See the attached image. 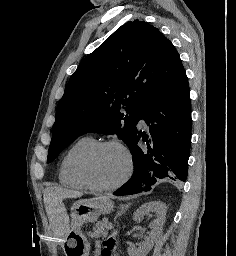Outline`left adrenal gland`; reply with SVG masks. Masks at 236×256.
<instances>
[{
  "mask_svg": "<svg viewBox=\"0 0 236 256\" xmlns=\"http://www.w3.org/2000/svg\"><path fill=\"white\" fill-rule=\"evenodd\" d=\"M120 208H121V212H118V214H116V216L114 218V222H115V220H117L118 216H121V214H123V212H125L124 206H120Z\"/></svg>",
  "mask_w": 236,
  "mask_h": 256,
  "instance_id": "obj_1",
  "label": "left adrenal gland"
}]
</instances>
